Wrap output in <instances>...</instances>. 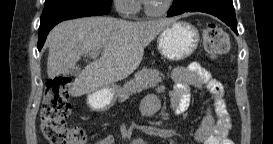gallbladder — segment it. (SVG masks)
<instances>
[{
    "instance_id": "bac80fb5",
    "label": "gallbladder",
    "mask_w": 273,
    "mask_h": 144,
    "mask_svg": "<svg viewBox=\"0 0 273 144\" xmlns=\"http://www.w3.org/2000/svg\"><path fill=\"white\" fill-rule=\"evenodd\" d=\"M71 75L72 76H80V66L79 65H72V68H71Z\"/></svg>"
}]
</instances>
